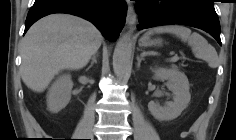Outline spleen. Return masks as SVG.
<instances>
[{
  "label": "spleen",
  "mask_w": 236,
  "mask_h": 140,
  "mask_svg": "<svg viewBox=\"0 0 236 140\" xmlns=\"http://www.w3.org/2000/svg\"><path fill=\"white\" fill-rule=\"evenodd\" d=\"M154 33L174 34L183 42L188 43L195 57L207 61L211 68H216L218 66V56L216 50L199 33H192L189 28L178 25L160 26L145 33L143 39L148 38Z\"/></svg>",
  "instance_id": "spleen-1"
}]
</instances>
